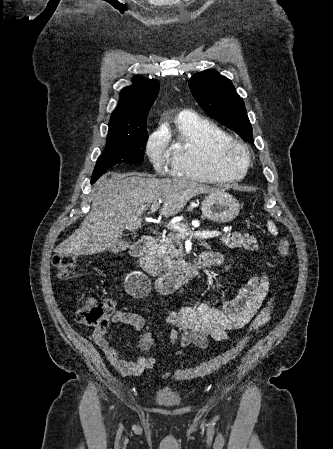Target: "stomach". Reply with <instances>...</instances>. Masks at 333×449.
Here are the masks:
<instances>
[{
  "label": "stomach",
  "mask_w": 333,
  "mask_h": 449,
  "mask_svg": "<svg viewBox=\"0 0 333 449\" xmlns=\"http://www.w3.org/2000/svg\"><path fill=\"white\" fill-rule=\"evenodd\" d=\"M201 211L204 218L217 223H228L238 216L240 204L232 195L218 190L203 200Z\"/></svg>",
  "instance_id": "0dacf381"
}]
</instances>
